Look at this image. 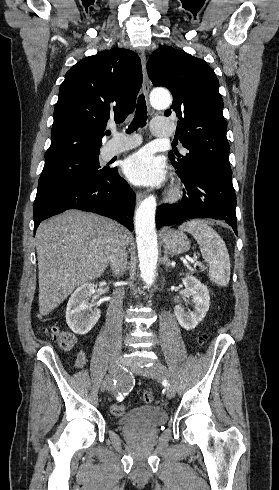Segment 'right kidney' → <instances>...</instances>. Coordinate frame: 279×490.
<instances>
[{"label":"right kidney","mask_w":279,"mask_h":490,"mask_svg":"<svg viewBox=\"0 0 279 490\" xmlns=\"http://www.w3.org/2000/svg\"><path fill=\"white\" fill-rule=\"evenodd\" d=\"M95 284H81L75 292H73L66 308V322L74 332V334H88L95 324H97L101 312L98 308H92L91 304H88L87 298L93 296L95 292Z\"/></svg>","instance_id":"1"}]
</instances>
